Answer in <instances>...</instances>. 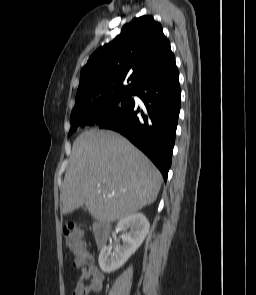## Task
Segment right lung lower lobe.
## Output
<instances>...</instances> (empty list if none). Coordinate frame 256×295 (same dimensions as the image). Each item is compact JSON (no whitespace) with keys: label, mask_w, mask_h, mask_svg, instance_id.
Masks as SVG:
<instances>
[{"label":"right lung lower lobe","mask_w":256,"mask_h":295,"mask_svg":"<svg viewBox=\"0 0 256 295\" xmlns=\"http://www.w3.org/2000/svg\"><path fill=\"white\" fill-rule=\"evenodd\" d=\"M145 104L141 110L134 102L118 116L99 119L100 128L117 131L142 150L167 180L171 166L176 127L180 111L179 72L174 55L148 75L134 91ZM142 117H137L138 113Z\"/></svg>","instance_id":"98d812e1"}]
</instances>
